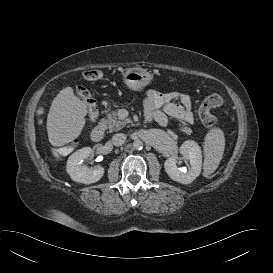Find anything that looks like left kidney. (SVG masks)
<instances>
[{
    "label": "left kidney",
    "mask_w": 273,
    "mask_h": 273,
    "mask_svg": "<svg viewBox=\"0 0 273 273\" xmlns=\"http://www.w3.org/2000/svg\"><path fill=\"white\" fill-rule=\"evenodd\" d=\"M180 154L184 160L190 161L188 168L177 167L179 157L173 155L169 157L164 168L168 176L181 184H190L201 173L202 169V152L201 148L195 141L187 140L180 146Z\"/></svg>",
    "instance_id": "left-kidney-1"
}]
</instances>
